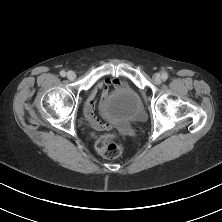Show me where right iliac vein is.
I'll return each instance as SVG.
<instances>
[{"instance_id": "obj_1", "label": "right iliac vein", "mask_w": 222, "mask_h": 222, "mask_svg": "<svg viewBox=\"0 0 222 222\" xmlns=\"http://www.w3.org/2000/svg\"><path fill=\"white\" fill-rule=\"evenodd\" d=\"M67 77H68L69 80H74L76 78V74L73 71H69L67 73Z\"/></svg>"}]
</instances>
